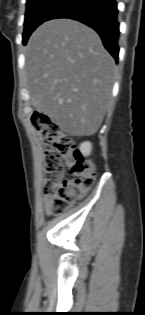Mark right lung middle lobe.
Returning a JSON list of instances; mask_svg holds the SVG:
<instances>
[{
  "mask_svg": "<svg viewBox=\"0 0 145 315\" xmlns=\"http://www.w3.org/2000/svg\"><path fill=\"white\" fill-rule=\"evenodd\" d=\"M65 0H27L23 43Z\"/></svg>",
  "mask_w": 145,
  "mask_h": 315,
  "instance_id": "dd1d6c3e",
  "label": "right lung middle lobe"
}]
</instances>
